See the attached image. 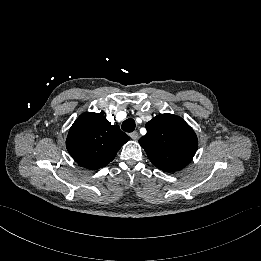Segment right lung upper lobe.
Instances as JSON below:
<instances>
[{"label": "right lung upper lobe", "instance_id": "obj_1", "mask_svg": "<svg viewBox=\"0 0 261 261\" xmlns=\"http://www.w3.org/2000/svg\"><path fill=\"white\" fill-rule=\"evenodd\" d=\"M129 140L118 125L94 112L80 115L69 130L66 147L81 166L96 170L110 163Z\"/></svg>", "mask_w": 261, "mask_h": 261}]
</instances>
